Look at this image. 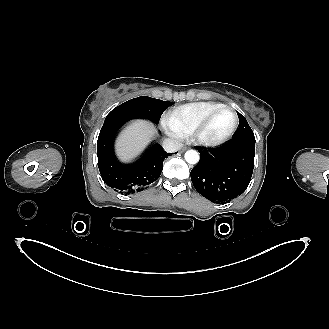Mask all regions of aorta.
<instances>
[{
  "instance_id": "762f6f07",
  "label": "aorta",
  "mask_w": 329,
  "mask_h": 329,
  "mask_svg": "<svg viewBox=\"0 0 329 329\" xmlns=\"http://www.w3.org/2000/svg\"><path fill=\"white\" fill-rule=\"evenodd\" d=\"M185 160L189 164H197L199 161V153L195 150H188L184 155Z\"/></svg>"
}]
</instances>
